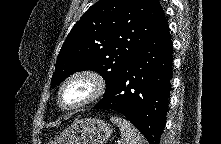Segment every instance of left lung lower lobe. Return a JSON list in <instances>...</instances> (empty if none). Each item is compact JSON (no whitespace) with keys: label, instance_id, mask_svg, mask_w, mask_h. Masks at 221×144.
I'll return each instance as SVG.
<instances>
[{"label":"left lung lower lobe","instance_id":"1","mask_svg":"<svg viewBox=\"0 0 221 144\" xmlns=\"http://www.w3.org/2000/svg\"><path fill=\"white\" fill-rule=\"evenodd\" d=\"M172 63V41L164 18L92 109L123 114L150 144H159L166 123Z\"/></svg>","mask_w":221,"mask_h":144}]
</instances>
